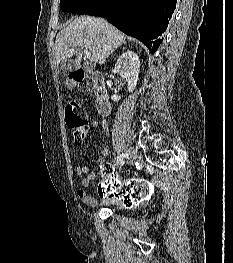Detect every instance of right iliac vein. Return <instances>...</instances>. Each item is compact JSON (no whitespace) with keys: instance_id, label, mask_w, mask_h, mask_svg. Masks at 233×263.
I'll return each instance as SVG.
<instances>
[{"instance_id":"obj_1","label":"right iliac vein","mask_w":233,"mask_h":263,"mask_svg":"<svg viewBox=\"0 0 233 263\" xmlns=\"http://www.w3.org/2000/svg\"><path fill=\"white\" fill-rule=\"evenodd\" d=\"M127 154H128V157L130 159H135L137 157L138 153H137V150L135 148L131 147L127 150Z\"/></svg>"}]
</instances>
